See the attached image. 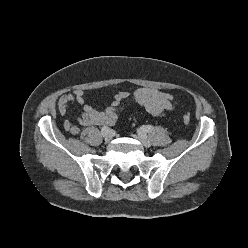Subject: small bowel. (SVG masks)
<instances>
[{"mask_svg": "<svg viewBox=\"0 0 248 248\" xmlns=\"http://www.w3.org/2000/svg\"><path fill=\"white\" fill-rule=\"evenodd\" d=\"M133 101L142 106L153 116H165L167 111L177 108L178 104L172 93L151 88H138L133 92H117L112 97V102L104 109H97L85 103L86 92L80 89L59 97L57 101L58 112L65 115L69 106L78 104L82 106V112L77 117V123L65 121L64 129L72 135H78L80 126L105 125L112 126L122 110L126 101Z\"/></svg>", "mask_w": 248, "mask_h": 248, "instance_id": "c3829d8e", "label": "small bowel"}]
</instances>
